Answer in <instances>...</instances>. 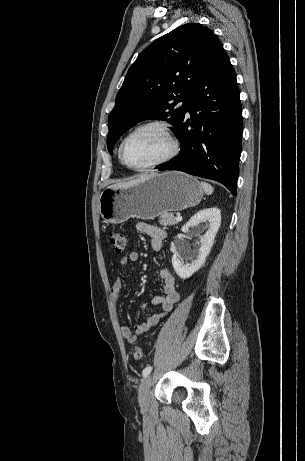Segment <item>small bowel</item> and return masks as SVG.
Segmentation results:
<instances>
[{"label": "small bowel", "instance_id": "1", "mask_svg": "<svg viewBox=\"0 0 305 461\" xmlns=\"http://www.w3.org/2000/svg\"><path fill=\"white\" fill-rule=\"evenodd\" d=\"M136 229L139 232L150 236V246L154 252L161 251L163 241L167 237V233L164 229L144 222L138 223ZM138 259L139 254L136 251L127 252L117 265L120 275L125 271L128 262H135ZM158 275L162 280V294L154 295L151 298V303L157 305L159 307V311L150 315L146 321L135 325L134 330H132L127 324L121 326V334L129 343H135L139 336L146 333L151 327L157 325L173 309L174 305L180 299V293L176 289L175 279L169 269L160 268ZM122 288L123 280L122 277L119 276L111 288V297L115 304L118 303L121 297Z\"/></svg>", "mask_w": 305, "mask_h": 461}]
</instances>
